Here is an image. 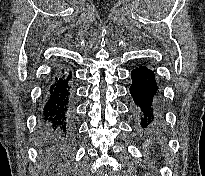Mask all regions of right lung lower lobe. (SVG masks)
Masks as SVG:
<instances>
[{"mask_svg": "<svg viewBox=\"0 0 205 176\" xmlns=\"http://www.w3.org/2000/svg\"><path fill=\"white\" fill-rule=\"evenodd\" d=\"M72 75L60 69L51 79L45 96L39 145L47 152L67 153L72 148Z\"/></svg>", "mask_w": 205, "mask_h": 176, "instance_id": "1", "label": "right lung lower lobe"}]
</instances>
